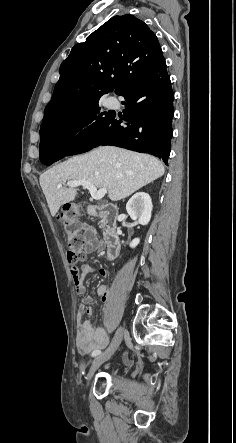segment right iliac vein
I'll return each instance as SVG.
<instances>
[{
	"mask_svg": "<svg viewBox=\"0 0 236 443\" xmlns=\"http://www.w3.org/2000/svg\"><path fill=\"white\" fill-rule=\"evenodd\" d=\"M123 333H124V329L123 327H119L112 339V342L110 344V346L99 356H97L92 365L91 368L89 370V373L87 375V385H89L95 371L107 360H109L111 358V356L114 354V352L117 350V348L119 347L121 341H122V337H123Z\"/></svg>",
	"mask_w": 236,
	"mask_h": 443,
	"instance_id": "obj_1",
	"label": "right iliac vein"
}]
</instances>
